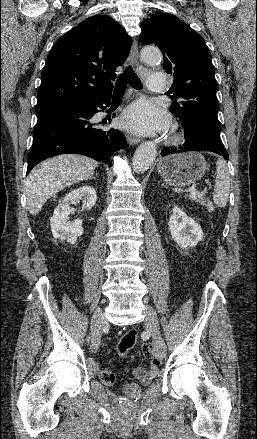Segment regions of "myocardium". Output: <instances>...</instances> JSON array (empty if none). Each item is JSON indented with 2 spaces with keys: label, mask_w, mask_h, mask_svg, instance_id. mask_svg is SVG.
Wrapping results in <instances>:
<instances>
[{
  "label": "myocardium",
  "mask_w": 257,
  "mask_h": 439,
  "mask_svg": "<svg viewBox=\"0 0 257 439\" xmlns=\"http://www.w3.org/2000/svg\"><path fill=\"white\" fill-rule=\"evenodd\" d=\"M180 139V135L179 134H174L170 137V141L171 142H177Z\"/></svg>",
  "instance_id": "myocardium-1"
}]
</instances>
